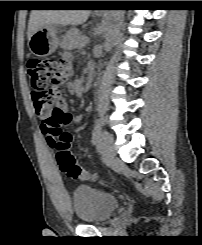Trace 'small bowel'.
Masks as SVG:
<instances>
[{"mask_svg": "<svg viewBox=\"0 0 202 245\" xmlns=\"http://www.w3.org/2000/svg\"><path fill=\"white\" fill-rule=\"evenodd\" d=\"M60 61H62L64 63V65L66 66V68L70 71L72 69V57L70 54L66 53L64 54ZM70 91L73 92L74 91V86L73 85H69L68 86ZM53 109L62 113V114H69V109L68 106L66 104L65 99L60 98L58 99L54 105H53ZM36 112H41V114L44 112V107L41 106L38 110L36 109ZM45 113V112H44ZM45 118H47V114L45 113ZM82 117L78 116L75 118L76 122L81 121ZM45 123V122H44ZM42 132L46 133L45 127L42 128Z\"/></svg>", "mask_w": 202, "mask_h": 245, "instance_id": "obj_1", "label": "small bowel"}]
</instances>
